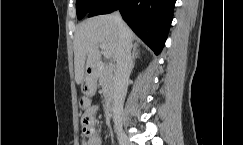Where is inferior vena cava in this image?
<instances>
[{"label": "inferior vena cava", "instance_id": "obj_1", "mask_svg": "<svg viewBox=\"0 0 243 145\" xmlns=\"http://www.w3.org/2000/svg\"><path fill=\"white\" fill-rule=\"evenodd\" d=\"M115 19L118 23L121 44L116 59V70L114 76V116L120 122L122 119L123 104L127 93L129 76L133 68L131 48L132 44L128 36L125 23L119 12H116Z\"/></svg>", "mask_w": 243, "mask_h": 145}]
</instances>
